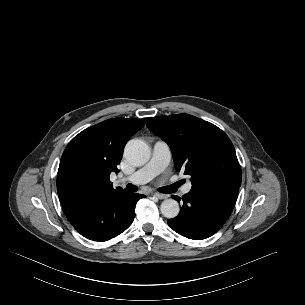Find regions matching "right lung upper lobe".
Here are the masks:
<instances>
[{"label": "right lung upper lobe", "instance_id": "right-lung-upper-lobe-1", "mask_svg": "<svg viewBox=\"0 0 305 305\" xmlns=\"http://www.w3.org/2000/svg\"><path fill=\"white\" fill-rule=\"evenodd\" d=\"M144 125L145 119H109L83 130L70 141L57 174V192L63 208L123 191L113 188L109 176L119 172L117 165L125 144Z\"/></svg>", "mask_w": 305, "mask_h": 305}]
</instances>
